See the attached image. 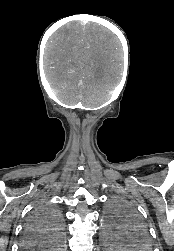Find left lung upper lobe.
Here are the masks:
<instances>
[{
    "mask_svg": "<svg viewBox=\"0 0 174 251\" xmlns=\"http://www.w3.org/2000/svg\"><path fill=\"white\" fill-rule=\"evenodd\" d=\"M106 215L109 228L121 234V237H125L133 248L139 251L150 250L151 242L147 228L126 201L120 198L112 199Z\"/></svg>",
    "mask_w": 174,
    "mask_h": 251,
    "instance_id": "5c2ea615",
    "label": "left lung upper lobe"
}]
</instances>
